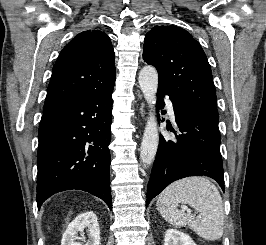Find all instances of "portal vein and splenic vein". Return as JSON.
Segmentation results:
<instances>
[{"label":"portal vein and splenic vein","instance_id":"portal-vein-and-splenic-vein-1","mask_svg":"<svg viewBox=\"0 0 266 245\" xmlns=\"http://www.w3.org/2000/svg\"><path fill=\"white\" fill-rule=\"evenodd\" d=\"M182 209H184V211H187V213H191L190 209H188V207H182Z\"/></svg>","mask_w":266,"mask_h":245}]
</instances>
